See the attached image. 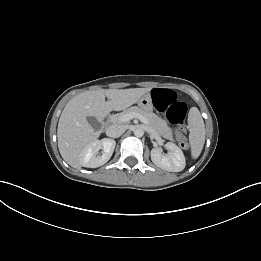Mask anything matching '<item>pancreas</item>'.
I'll return each instance as SVG.
<instances>
[{
    "instance_id": "cf45deb5",
    "label": "pancreas",
    "mask_w": 261,
    "mask_h": 261,
    "mask_svg": "<svg viewBox=\"0 0 261 261\" xmlns=\"http://www.w3.org/2000/svg\"><path fill=\"white\" fill-rule=\"evenodd\" d=\"M129 113H137L142 115L148 120V125L152 130L156 131L162 137L172 140V129L167 125V122L164 119L158 117L151 111H144L136 106L125 109L121 113L112 115L110 117V121L113 123H121L122 121L120 120V117Z\"/></svg>"
}]
</instances>
